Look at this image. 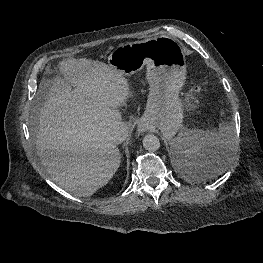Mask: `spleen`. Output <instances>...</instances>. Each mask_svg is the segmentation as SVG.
<instances>
[{"label": "spleen", "mask_w": 263, "mask_h": 263, "mask_svg": "<svg viewBox=\"0 0 263 263\" xmlns=\"http://www.w3.org/2000/svg\"><path fill=\"white\" fill-rule=\"evenodd\" d=\"M173 151L183 156H193L208 147H217L224 154V164L219 171L211 176L222 174L229 164L230 156L237 146L235 128L231 123H220L217 132L200 129H184L170 142Z\"/></svg>", "instance_id": "obj_1"}]
</instances>
